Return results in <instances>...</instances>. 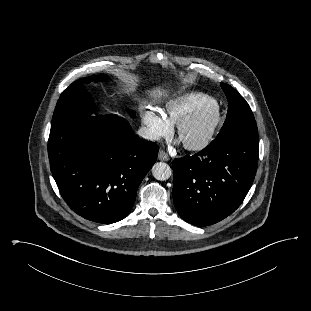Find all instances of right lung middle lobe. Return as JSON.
<instances>
[{"label": "right lung middle lobe", "mask_w": 311, "mask_h": 311, "mask_svg": "<svg viewBox=\"0 0 311 311\" xmlns=\"http://www.w3.org/2000/svg\"><path fill=\"white\" fill-rule=\"evenodd\" d=\"M107 78V75L100 74L98 77L92 75L73 82L62 92L57 102L52 125L77 115H92L95 113L96 106L92 102L90 95L85 91L83 84L97 80L105 81ZM130 115L134 117V112H130Z\"/></svg>", "instance_id": "obj_1"}]
</instances>
